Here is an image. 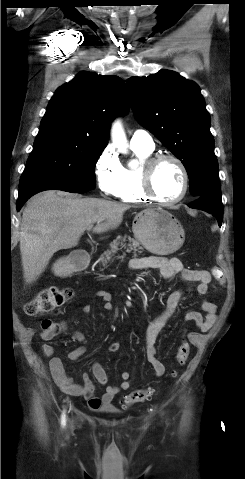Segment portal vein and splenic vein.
I'll use <instances>...</instances> for the list:
<instances>
[{"label":"portal vein and splenic vein","mask_w":245,"mask_h":479,"mask_svg":"<svg viewBox=\"0 0 245 479\" xmlns=\"http://www.w3.org/2000/svg\"><path fill=\"white\" fill-rule=\"evenodd\" d=\"M87 230L90 231V230H91V227H89Z\"/></svg>","instance_id":"portal-vein-and-splenic-vein-1"}]
</instances>
